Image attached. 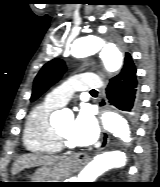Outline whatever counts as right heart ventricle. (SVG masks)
<instances>
[{"instance_id":"1","label":"right heart ventricle","mask_w":160,"mask_h":187,"mask_svg":"<svg viewBox=\"0 0 160 187\" xmlns=\"http://www.w3.org/2000/svg\"><path fill=\"white\" fill-rule=\"evenodd\" d=\"M55 108L57 107L44 101L31 110L23 132L26 150L40 155H56L61 152L55 128L49 120V115Z\"/></svg>"}]
</instances>
